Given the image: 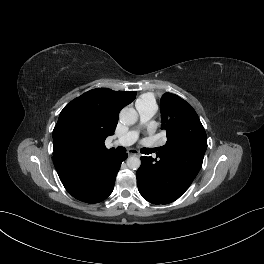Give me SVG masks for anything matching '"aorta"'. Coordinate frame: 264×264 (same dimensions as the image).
Listing matches in <instances>:
<instances>
[{"label":"aorta","mask_w":264,"mask_h":264,"mask_svg":"<svg viewBox=\"0 0 264 264\" xmlns=\"http://www.w3.org/2000/svg\"><path fill=\"white\" fill-rule=\"evenodd\" d=\"M120 122L125 125H133L138 120L137 111L134 108L125 107L119 114ZM141 165V161L138 157L131 156L127 159V166L132 170H137Z\"/></svg>","instance_id":"aorta-1"}]
</instances>
